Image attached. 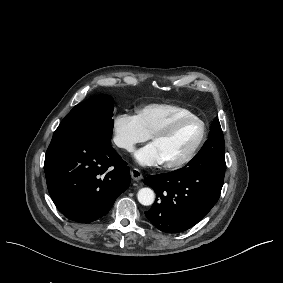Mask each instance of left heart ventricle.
<instances>
[{
  "label": "left heart ventricle",
  "mask_w": 283,
  "mask_h": 283,
  "mask_svg": "<svg viewBox=\"0 0 283 283\" xmlns=\"http://www.w3.org/2000/svg\"><path fill=\"white\" fill-rule=\"evenodd\" d=\"M201 133V124L187 121L178 126L169 138L156 139L162 150L165 162H176L183 159L193 148Z\"/></svg>",
  "instance_id": "1"
}]
</instances>
